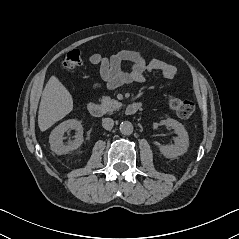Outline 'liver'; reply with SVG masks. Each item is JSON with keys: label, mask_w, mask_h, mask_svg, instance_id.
Returning a JSON list of instances; mask_svg holds the SVG:
<instances>
[{"label": "liver", "mask_w": 239, "mask_h": 239, "mask_svg": "<svg viewBox=\"0 0 239 239\" xmlns=\"http://www.w3.org/2000/svg\"><path fill=\"white\" fill-rule=\"evenodd\" d=\"M73 109V98L56 76L48 80L41 97L38 126L46 131Z\"/></svg>", "instance_id": "6515ba94"}]
</instances>
